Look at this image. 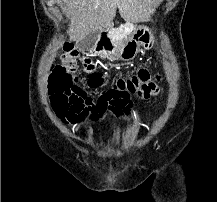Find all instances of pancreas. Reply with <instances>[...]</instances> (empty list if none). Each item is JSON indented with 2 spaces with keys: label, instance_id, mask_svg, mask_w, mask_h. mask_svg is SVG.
Segmentation results:
<instances>
[{
  "label": "pancreas",
  "instance_id": "obj_1",
  "mask_svg": "<svg viewBox=\"0 0 217 202\" xmlns=\"http://www.w3.org/2000/svg\"><path fill=\"white\" fill-rule=\"evenodd\" d=\"M134 26L129 22L123 23L121 25H119V27H116V33L118 34H122V33H130Z\"/></svg>",
  "mask_w": 217,
  "mask_h": 202
}]
</instances>
